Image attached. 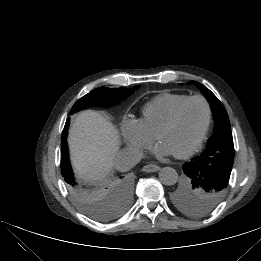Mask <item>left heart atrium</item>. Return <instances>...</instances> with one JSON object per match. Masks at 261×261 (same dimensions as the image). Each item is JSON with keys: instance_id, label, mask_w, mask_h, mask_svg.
<instances>
[{"instance_id": "1", "label": "left heart atrium", "mask_w": 261, "mask_h": 261, "mask_svg": "<svg viewBox=\"0 0 261 261\" xmlns=\"http://www.w3.org/2000/svg\"><path fill=\"white\" fill-rule=\"evenodd\" d=\"M173 154L174 152L167 145L163 143H159L155 149V155L160 158L167 157Z\"/></svg>"}]
</instances>
